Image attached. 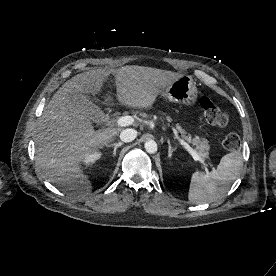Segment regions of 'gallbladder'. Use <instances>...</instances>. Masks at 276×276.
Listing matches in <instances>:
<instances>
[{"label":"gallbladder","instance_id":"1","mask_svg":"<svg viewBox=\"0 0 276 276\" xmlns=\"http://www.w3.org/2000/svg\"><path fill=\"white\" fill-rule=\"evenodd\" d=\"M70 98L72 103L77 108L82 110L90 118L91 121L99 123L102 122L105 118V114L97 105V100L90 99L87 96L80 93L70 94Z\"/></svg>","mask_w":276,"mask_h":276}]
</instances>
